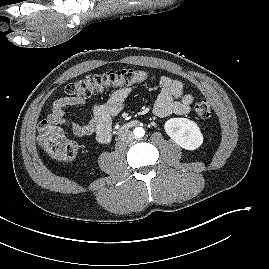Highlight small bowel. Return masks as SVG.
I'll return each instance as SVG.
<instances>
[{"mask_svg": "<svg viewBox=\"0 0 269 269\" xmlns=\"http://www.w3.org/2000/svg\"><path fill=\"white\" fill-rule=\"evenodd\" d=\"M159 87L160 92L153 108L156 116L186 115L190 112L193 96L185 92L181 81L163 75L159 78ZM130 93V87L115 90L106 102L94 106L91 119L82 124L68 121L65 109L82 106L85 104V100L62 97L53 103L48 120L57 126L70 128L77 137L95 135L99 142L107 143L111 138L112 118L123 110Z\"/></svg>", "mask_w": 269, "mask_h": 269, "instance_id": "small-bowel-1", "label": "small bowel"}]
</instances>
